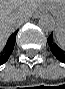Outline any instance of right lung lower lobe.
<instances>
[{
  "mask_svg": "<svg viewBox=\"0 0 65 89\" xmlns=\"http://www.w3.org/2000/svg\"><path fill=\"white\" fill-rule=\"evenodd\" d=\"M15 41H16V32L10 36L7 45L4 48L3 53L0 55V65L4 64L10 57L14 49Z\"/></svg>",
  "mask_w": 65,
  "mask_h": 89,
  "instance_id": "right-lung-lower-lobe-1",
  "label": "right lung lower lobe"
}]
</instances>
